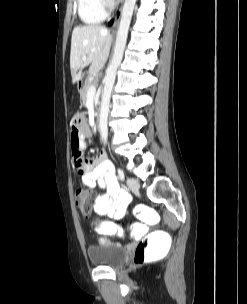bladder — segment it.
Masks as SVG:
<instances>
[{
	"label": "bladder",
	"instance_id": "1",
	"mask_svg": "<svg viewBox=\"0 0 247 304\" xmlns=\"http://www.w3.org/2000/svg\"><path fill=\"white\" fill-rule=\"evenodd\" d=\"M90 263L96 267L118 268L128 256V249L119 244L105 243L90 246L87 250Z\"/></svg>",
	"mask_w": 247,
	"mask_h": 304
}]
</instances>
